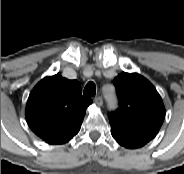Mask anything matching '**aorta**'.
<instances>
[{"mask_svg": "<svg viewBox=\"0 0 184 174\" xmlns=\"http://www.w3.org/2000/svg\"><path fill=\"white\" fill-rule=\"evenodd\" d=\"M104 96L106 100L108 101L109 106H114L116 102V94L114 90H111L109 92H104Z\"/></svg>", "mask_w": 184, "mask_h": 174, "instance_id": "aorta-1", "label": "aorta"}]
</instances>
